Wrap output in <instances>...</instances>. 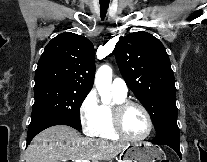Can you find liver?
Returning <instances> with one entry per match:
<instances>
[{"label": "liver", "instance_id": "1", "mask_svg": "<svg viewBox=\"0 0 207 162\" xmlns=\"http://www.w3.org/2000/svg\"><path fill=\"white\" fill-rule=\"evenodd\" d=\"M129 144L82 137L67 125H55L39 133L25 153L26 162H59L64 160H111Z\"/></svg>", "mask_w": 207, "mask_h": 162}]
</instances>
